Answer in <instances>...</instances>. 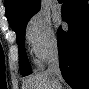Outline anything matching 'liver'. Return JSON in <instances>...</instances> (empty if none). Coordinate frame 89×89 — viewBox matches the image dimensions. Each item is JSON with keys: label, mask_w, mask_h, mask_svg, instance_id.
I'll use <instances>...</instances> for the list:
<instances>
[{"label": "liver", "mask_w": 89, "mask_h": 89, "mask_svg": "<svg viewBox=\"0 0 89 89\" xmlns=\"http://www.w3.org/2000/svg\"><path fill=\"white\" fill-rule=\"evenodd\" d=\"M55 86L60 87L58 78L44 71L30 76L22 89H54Z\"/></svg>", "instance_id": "liver-1"}]
</instances>
